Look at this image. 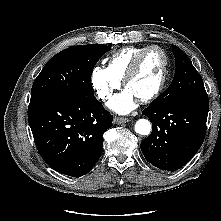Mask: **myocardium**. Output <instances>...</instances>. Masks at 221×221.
<instances>
[{"label":"myocardium","instance_id":"1","mask_svg":"<svg viewBox=\"0 0 221 221\" xmlns=\"http://www.w3.org/2000/svg\"><path fill=\"white\" fill-rule=\"evenodd\" d=\"M152 50H157L161 53L162 57H163V70H162V74L160 77V80L156 86V88L148 95L138 99L139 102L141 103H147L152 101L153 99H155L164 89L165 84L167 82L168 79V74H169V58L166 54V52L159 46L157 45H151V46H147L146 48H144L142 51H140L133 59L131 65L129 66L125 76L123 77V86L126 87L128 82L135 76V74L138 72L142 59L144 58V56L152 51Z\"/></svg>","mask_w":221,"mask_h":221}]
</instances>
